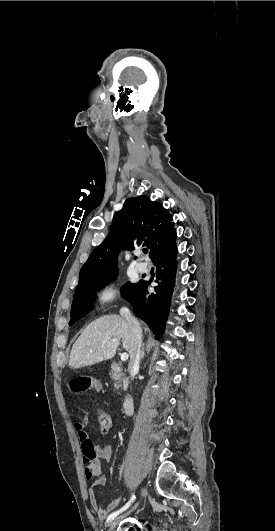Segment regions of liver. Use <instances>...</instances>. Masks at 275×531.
<instances>
[{
	"label": "liver",
	"instance_id": "obj_1",
	"mask_svg": "<svg viewBox=\"0 0 275 531\" xmlns=\"http://www.w3.org/2000/svg\"><path fill=\"white\" fill-rule=\"evenodd\" d=\"M131 337V327L124 317L104 315L92 321L75 341L70 353L69 367L81 369L113 359L121 339L123 349L129 353ZM113 339H117L116 343H113Z\"/></svg>",
	"mask_w": 275,
	"mask_h": 531
}]
</instances>
